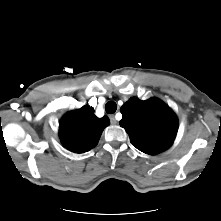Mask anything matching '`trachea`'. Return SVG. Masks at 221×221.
Returning <instances> with one entry per match:
<instances>
[{
	"instance_id": "1",
	"label": "trachea",
	"mask_w": 221,
	"mask_h": 221,
	"mask_svg": "<svg viewBox=\"0 0 221 221\" xmlns=\"http://www.w3.org/2000/svg\"><path fill=\"white\" fill-rule=\"evenodd\" d=\"M116 110H117V105L114 101H109V102L106 103L105 111L108 114H113V113H115Z\"/></svg>"
}]
</instances>
